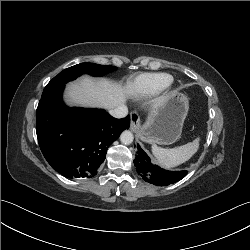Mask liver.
<instances>
[{"mask_svg":"<svg viewBox=\"0 0 250 250\" xmlns=\"http://www.w3.org/2000/svg\"><path fill=\"white\" fill-rule=\"evenodd\" d=\"M130 93L129 89L107 79L85 76L67 86L66 101L69 105L114 109L122 106Z\"/></svg>","mask_w":250,"mask_h":250,"instance_id":"liver-1","label":"liver"}]
</instances>
